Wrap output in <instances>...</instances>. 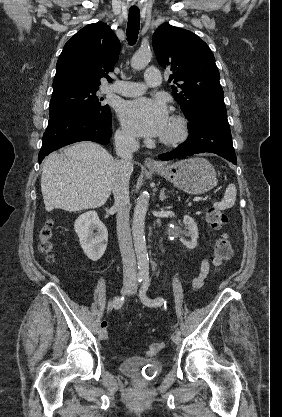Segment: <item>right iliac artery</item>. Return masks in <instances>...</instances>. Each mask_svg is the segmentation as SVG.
<instances>
[{
  "label": "right iliac artery",
  "instance_id": "1",
  "mask_svg": "<svg viewBox=\"0 0 282 417\" xmlns=\"http://www.w3.org/2000/svg\"><path fill=\"white\" fill-rule=\"evenodd\" d=\"M141 281H142V279H139L138 280V283H141ZM124 301H125V297L124 296H118V297H115L113 300H112V302H111V304H110V308L111 309H119V308H121L122 307V305L124 304Z\"/></svg>",
  "mask_w": 282,
  "mask_h": 417
}]
</instances>
